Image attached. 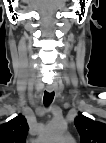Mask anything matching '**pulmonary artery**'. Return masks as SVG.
Instances as JSON below:
<instances>
[{"mask_svg":"<svg viewBox=\"0 0 106 143\" xmlns=\"http://www.w3.org/2000/svg\"><path fill=\"white\" fill-rule=\"evenodd\" d=\"M64 139H65V140H71V137L66 136V137H64Z\"/></svg>","mask_w":106,"mask_h":143,"instance_id":"1","label":"pulmonary artery"}]
</instances>
